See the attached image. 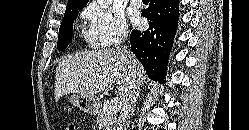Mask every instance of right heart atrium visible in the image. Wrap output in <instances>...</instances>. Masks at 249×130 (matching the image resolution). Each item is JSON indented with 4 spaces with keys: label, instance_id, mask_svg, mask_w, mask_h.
Segmentation results:
<instances>
[{
    "label": "right heart atrium",
    "instance_id": "1",
    "mask_svg": "<svg viewBox=\"0 0 249 130\" xmlns=\"http://www.w3.org/2000/svg\"><path fill=\"white\" fill-rule=\"evenodd\" d=\"M82 15L89 23V37L97 47L117 45L129 34L123 13L113 7H103L92 2L84 8Z\"/></svg>",
    "mask_w": 249,
    "mask_h": 130
}]
</instances>
